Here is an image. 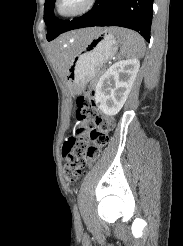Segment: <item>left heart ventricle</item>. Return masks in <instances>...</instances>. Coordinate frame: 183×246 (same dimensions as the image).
<instances>
[{
    "mask_svg": "<svg viewBox=\"0 0 183 246\" xmlns=\"http://www.w3.org/2000/svg\"><path fill=\"white\" fill-rule=\"evenodd\" d=\"M78 0H69L66 4L67 7H73L76 5Z\"/></svg>",
    "mask_w": 183,
    "mask_h": 246,
    "instance_id": "left-heart-ventricle-1",
    "label": "left heart ventricle"
}]
</instances>
